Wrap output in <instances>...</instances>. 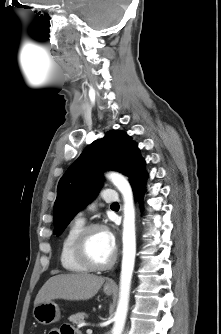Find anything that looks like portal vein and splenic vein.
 Wrapping results in <instances>:
<instances>
[{"label": "portal vein and splenic vein", "instance_id": "obj_1", "mask_svg": "<svg viewBox=\"0 0 221 334\" xmlns=\"http://www.w3.org/2000/svg\"><path fill=\"white\" fill-rule=\"evenodd\" d=\"M86 333H87V334H92V330H91V329H87V330H86Z\"/></svg>", "mask_w": 221, "mask_h": 334}]
</instances>
